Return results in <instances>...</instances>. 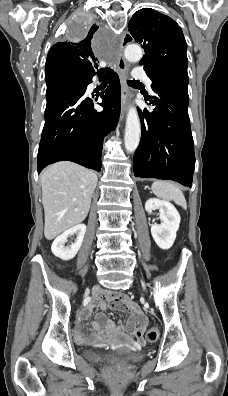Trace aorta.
<instances>
[{"mask_svg":"<svg viewBox=\"0 0 228 396\" xmlns=\"http://www.w3.org/2000/svg\"><path fill=\"white\" fill-rule=\"evenodd\" d=\"M142 49L137 45H128L124 50L125 58L128 61H139L142 58ZM141 135L140 120L137 109L130 106L124 135V144L127 152H134L139 145Z\"/></svg>","mask_w":228,"mask_h":396,"instance_id":"762f6f07","label":"aorta"}]
</instances>
